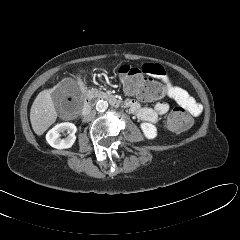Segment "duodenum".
Masks as SVG:
<instances>
[{
	"label": "duodenum",
	"instance_id": "1",
	"mask_svg": "<svg viewBox=\"0 0 240 240\" xmlns=\"http://www.w3.org/2000/svg\"><path fill=\"white\" fill-rule=\"evenodd\" d=\"M99 96L107 101H109L111 103V105H113L114 107H118L120 106L121 102L120 100L113 94L110 93H102L99 94ZM93 99V95L90 93H87L85 95V99H84V104H83V108H82V114L86 115L91 107V102Z\"/></svg>",
	"mask_w": 240,
	"mask_h": 240
}]
</instances>
